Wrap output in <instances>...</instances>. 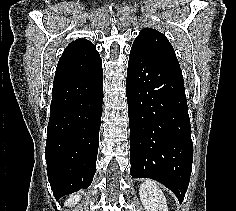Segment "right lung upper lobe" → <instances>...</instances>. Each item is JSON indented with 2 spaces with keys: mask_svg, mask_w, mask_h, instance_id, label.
<instances>
[{
  "mask_svg": "<svg viewBox=\"0 0 236 211\" xmlns=\"http://www.w3.org/2000/svg\"><path fill=\"white\" fill-rule=\"evenodd\" d=\"M101 68V58L95 46L86 39H77L64 50L56 68L54 84L91 75Z\"/></svg>",
  "mask_w": 236,
  "mask_h": 211,
  "instance_id": "right-lung-upper-lobe-1",
  "label": "right lung upper lobe"
}]
</instances>
